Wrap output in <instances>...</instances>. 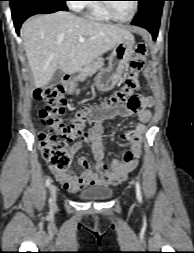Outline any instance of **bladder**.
<instances>
[{
  "label": "bladder",
  "instance_id": "bladder-1",
  "mask_svg": "<svg viewBox=\"0 0 194 253\" xmlns=\"http://www.w3.org/2000/svg\"><path fill=\"white\" fill-rule=\"evenodd\" d=\"M113 193L108 186L96 185L83 189L77 194V197L83 201H104L110 199Z\"/></svg>",
  "mask_w": 194,
  "mask_h": 253
}]
</instances>
